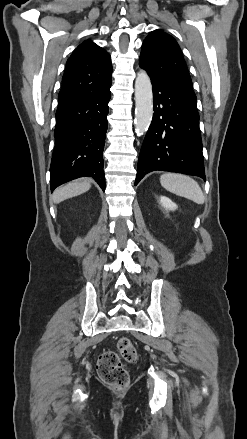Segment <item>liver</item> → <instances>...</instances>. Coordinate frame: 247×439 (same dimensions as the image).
Masks as SVG:
<instances>
[{
	"label": "liver",
	"mask_w": 247,
	"mask_h": 439,
	"mask_svg": "<svg viewBox=\"0 0 247 439\" xmlns=\"http://www.w3.org/2000/svg\"><path fill=\"white\" fill-rule=\"evenodd\" d=\"M91 187V179L83 178L65 184L57 188L53 193L54 203H60L68 198L78 196L85 193Z\"/></svg>",
	"instance_id": "obj_1"
}]
</instances>
